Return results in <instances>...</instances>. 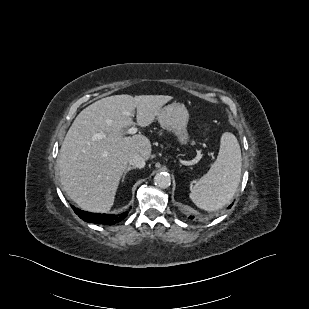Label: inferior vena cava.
<instances>
[{
    "label": "inferior vena cava",
    "mask_w": 309,
    "mask_h": 309,
    "mask_svg": "<svg viewBox=\"0 0 309 309\" xmlns=\"http://www.w3.org/2000/svg\"><path fill=\"white\" fill-rule=\"evenodd\" d=\"M128 162L135 168H143L145 166V159L139 154L132 155Z\"/></svg>",
    "instance_id": "1"
}]
</instances>
